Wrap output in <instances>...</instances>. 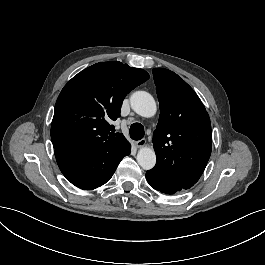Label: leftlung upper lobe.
I'll return each mask as SVG.
<instances>
[{"mask_svg":"<svg viewBox=\"0 0 265 265\" xmlns=\"http://www.w3.org/2000/svg\"><path fill=\"white\" fill-rule=\"evenodd\" d=\"M160 116L153 134V171L183 189L201 177L212 150L209 115L194 90L177 74L153 69Z\"/></svg>","mask_w":265,"mask_h":265,"instance_id":"1","label":"left lung upper lobe"}]
</instances>
